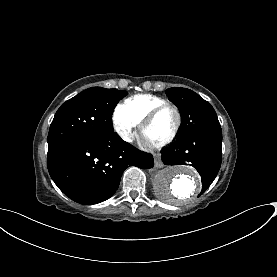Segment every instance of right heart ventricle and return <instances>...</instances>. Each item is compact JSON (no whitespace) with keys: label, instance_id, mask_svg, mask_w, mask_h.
<instances>
[{"label":"right heart ventricle","instance_id":"obj_1","mask_svg":"<svg viewBox=\"0 0 277 277\" xmlns=\"http://www.w3.org/2000/svg\"><path fill=\"white\" fill-rule=\"evenodd\" d=\"M166 102L168 101L157 96L137 94L126 99L118 110L141 123L154 107Z\"/></svg>","mask_w":277,"mask_h":277}]
</instances>
